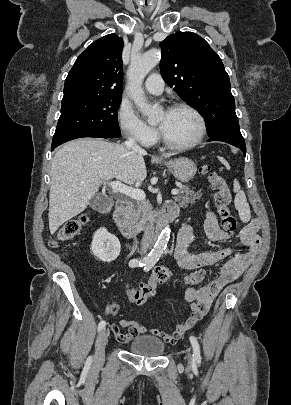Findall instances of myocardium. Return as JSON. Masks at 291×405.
<instances>
[{"instance_id":"f54148a6","label":"myocardium","mask_w":291,"mask_h":405,"mask_svg":"<svg viewBox=\"0 0 291 405\" xmlns=\"http://www.w3.org/2000/svg\"><path fill=\"white\" fill-rule=\"evenodd\" d=\"M179 109H184L190 111L198 120L199 122V132L197 136L188 143L185 144H176L171 141H169L163 134V132L160 130V128L157 129L158 133V139L162 145L169 149L173 150H189L197 146L205 137L207 133V123L202 115V113L195 108L194 106L187 104V103H175L172 104L168 107L167 111H174V110H179Z\"/></svg>"}]
</instances>
